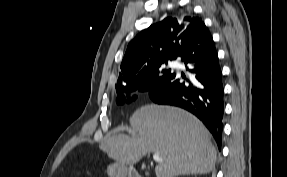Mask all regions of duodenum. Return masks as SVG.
I'll use <instances>...</instances> for the list:
<instances>
[{"instance_id":"1","label":"duodenum","mask_w":287,"mask_h":177,"mask_svg":"<svg viewBox=\"0 0 287 177\" xmlns=\"http://www.w3.org/2000/svg\"><path fill=\"white\" fill-rule=\"evenodd\" d=\"M123 173L128 177H141L136 171L130 170L128 168L124 169Z\"/></svg>"}]
</instances>
